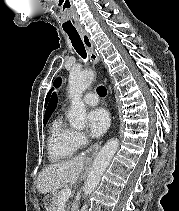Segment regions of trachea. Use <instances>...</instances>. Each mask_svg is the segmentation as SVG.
Wrapping results in <instances>:
<instances>
[{
	"mask_svg": "<svg viewBox=\"0 0 179 211\" xmlns=\"http://www.w3.org/2000/svg\"><path fill=\"white\" fill-rule=\"evenodd\" d=\"M66 33L68 34L71 43L74 47V49L76 50V52L82 57V58H86L87 57V53L84 47V44L78 34L77 31H66ZM98 93L100 96L105 97L106 96V88L104 86H100L98 88Z\"/></svg>",
	"mask_w": 179,
	"mask_h": 211,
	"instance_id": "3493384b",
	"label": "trachea"
}]
</instances>
